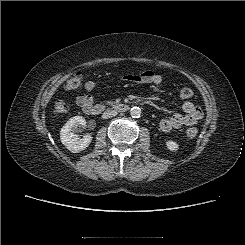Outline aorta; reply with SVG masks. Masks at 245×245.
<instances>
[{
	"mask_svg": "<svg viewBox=\"0 0 245 245\" xmlns=\"http://www.w3.org/2000/svg\"><path fill=\"white\" fill-rule=\"evenodd\" d=\"M130 115L133 118H138L141 115V109L139 107H132L130 110Z\"/></svg>",
	"mask_w": 245,
	"mask_h": 245,
	"instance_id": "1",
	"label": "aorta"
}]
</instances>
